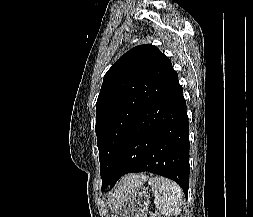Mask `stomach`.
Listing matches in <instances>:
<instances>
[{"label": "stomach", "instance_id": "1", "mask_svg": "<svg viewBox=\"0 0 253 217\" xmlns=\"http://www.w3.org/2000/svg\"><path fill=\"white\" fill-rule=\"evenodd\" d=\"M149 204L146 188L135 187L128 195L114 201L111 217H147Z\"/></svg>", "mask_w": 253, "mask_h": 217}]
</instances>
